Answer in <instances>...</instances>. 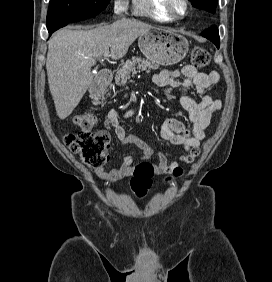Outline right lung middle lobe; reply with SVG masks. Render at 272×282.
Here are the masks:
<instances>
[{"label":"right lung middle lobe","instance_id":"right-lung-middle-lobe-1","mask_svg":"<svg viewBox=\"0 0 272 282\" xmlns=\"http://www.w3.org/2000/svg\"><path fill=\"white\" fill-rule=\"evenodd\" d=\"M110 0H51L47 13V23L85 12H101Z\"/></svg>","mask_w":272,"mask_h":282}]
</instances>
